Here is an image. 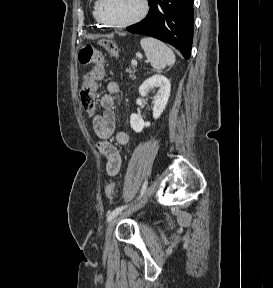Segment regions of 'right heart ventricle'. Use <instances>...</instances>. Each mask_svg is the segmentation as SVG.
Segmentation results:
<instances>
[{
    "instance_id": "1",
    "label": "right heart ventricle",
    "mask_w": 273,
    "mask_h": 288,
    "mask_svg": "<svg viewBox=\"0 0 273 288\" xmlns=\"http://www.w3.org/2000/svg\"><path fill=\"white\" fill-rule=\"evenodd\" d=\"M96 6H97V0L93 3L92 16L97 23H100V21L97 18V15H96Z\"/></svg>"
}]
</instances>
